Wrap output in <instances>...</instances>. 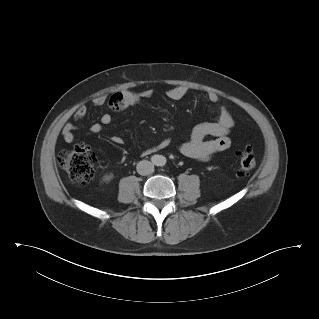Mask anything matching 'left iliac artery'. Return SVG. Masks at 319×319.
Here are the masks:
<instances>
[{
  "label": "left iliac artery",
  "instance_id": "obj_1",
  "mask_svg": "<svg viewBox=\"0 0 319 319\" xmlns=\"http://www.w3.org/2000/svg\"><path fill=\"white\" fill-rule=\"evenodd\" d=\"M165 163H166L165 158H161V160H160V162H159L160 166L165 165Z\"/></svg>",
  "mask_w": 319,
  "mask_h": 319
}]
</instances>
